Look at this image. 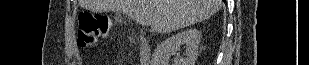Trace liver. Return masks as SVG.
<instances>
[{
    "label": "liver",
    "mask_w": 309,
    "mask_h": 65,
    "mask_svg": "<svg viewBox=\"0 0 309 65\" xmlns=\"http://www.w3.org/2000/svg\"><path fill=\"white\" fill-rule=\"evenodd\" d=\"M92 12H124L135 22L165 34L214 15L221 0H81Z\"/></svg>",
    "instance_id": "1"
}]
</instances>
